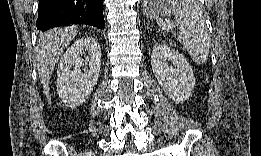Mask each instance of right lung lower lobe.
Returning a JSON list of instances; mask_svg holds the SVG:
<instances>
[{
	"instance_id": "1",
	"label": "right lung lower lobe",
	"mask_w": 261,
	"mask_h": 156,
	"mask_svg": "<svg viewBox=\"0 0 261 156\" xmlns=\"http://www.w3.org/2000/svg\"><path fill=\"white\" fill-rule=\"evenodd\" d=\"M103 0H39L37 29L47 30L72 24L104 29Z\"/></svg>"
}]
</instances>
